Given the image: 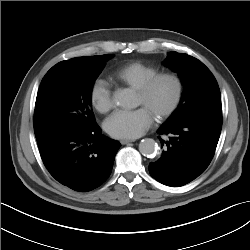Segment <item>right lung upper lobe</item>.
<instances>
[{
	"instance_id": "1",
	"label": "right lung upper lobe",
	"mask_w": 250,
	"mask_h": 250,
	"mask_svg": "<svg viewBox=\"0 0 250 250\" xmlns=\"http://www.w3.org/2000/svg\"><path fill=\"white\" fill-rule=\"evenodd\" d=\"M95 56H87V57H77L70 60L62 61L55 66H53L47 73H53L59 69L71 67V66H77V65H86L88 64Z\"/></svg>"
}]
</instances>
